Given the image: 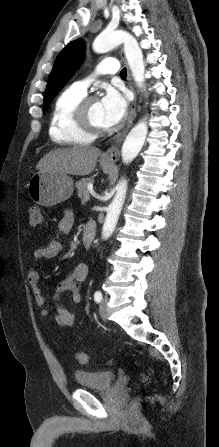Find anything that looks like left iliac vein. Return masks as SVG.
Instances as JSON below:
<instances>
[{"instance_id": "1", "label": "left iliac vein", "mask_w": 219, "mask_h": 447, "mask_svg": "<svg viewBox=\"0 0 219 447\" xmlns=\"http://www.w3.org/2000/svg\"><path fill=\"white\" fill-rule=\"evenodd\" d=\"M108 299L107 298H103L101 303H100V307H99V312H100V316L104 321H107L108 319Z\"/></svg>"}]
</instances>
